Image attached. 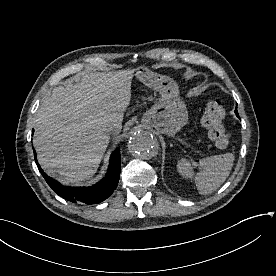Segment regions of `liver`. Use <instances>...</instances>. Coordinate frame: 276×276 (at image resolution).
<instances>
[{
  "label": "liver",
  "instance_id": "obj_1",
  "mask_svg": "<svg viewBox=\"0 0 276 276\" xmlns=\"http://www.w3.org/2000/svg\"><path fill=\"white\" fill-rule=\"evenodd\" d=\"M134 72H91L76 84L55 87L43 99L33 144L46 173L66 185L96 173L110 142L104 126L115 123L121 130Z\"/></svg>",
  "mask_w": 276,
  "mask_h": 276
}]
</instances>
